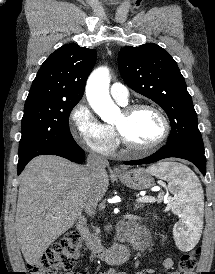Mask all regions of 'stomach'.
Segmentation results:
<instances>
[{"mask_svg":"<svg viewBox=\"0 0 215 274\" xmlns=\"http://www.w3.org/2000/svg\"><path fill=\"white\" fill-rule=\"evenodd\" d=\"M120 181L134 190L149 189L154 185L152 174L143 168H134L118 175Z\"/></svg>","mask_w":215,"mask_h":274,"instance_id":"0dacf381","label":"stomach"}]
</instances>
